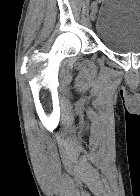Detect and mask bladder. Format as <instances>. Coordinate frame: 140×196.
I'll return each mask as SVG.
<instances>
[{
  "instance_id": "31cf9c89",
  "label": "bladder",
  "mask_w": 140,
  "mask_h": 196,
  "mask_svg": "<svg viewBox=\"0 0 140 196\" xmlns=\"http://www.w3.org/2000/svg\"><path fill=\"white\" fill-rule=\"evenodd\" d=\"M96 34L101 44L117 54H140V0H104Z\"/></svg>"
}]
</instances>
